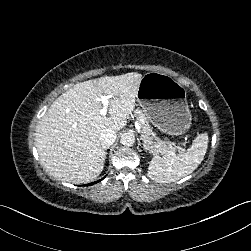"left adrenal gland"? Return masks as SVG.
Instances as JSON below:
<instances>
[{
  "label": "left adrenal gland",
  "instance_id": "1",
  "mask_svg": "<svg viewBox=\"0 0 251 251\" xmlns=\"http://www.w3.org/2000/svg\"><path fill=\"white\" fill-rule=\"evenodd\" d=\"M137 142H138V147H140L141 146V141H140L139 138H137Z\"/></svg>",
  "mask_w": 251,
  "mask_h": 251
}]
</instances>
